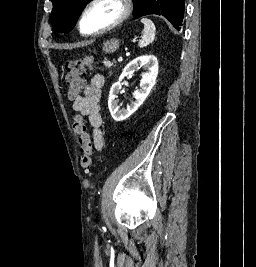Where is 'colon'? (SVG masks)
Listing matches in <instances>:
<instances>
[{"instance_id": "1", "label": "colon", "mask_w": 256, "mask_h": 267, "mask_svg": "<svg viewBox=\"0 0 256 267\" xmlns=\"http://www.w3.org/2000/svg\"><path fill=\"white\" fill-rule=\"evenodd\" d=\"M92 65L91 58H81L65 63L67 71L66 81L69 86L68 97L75 100L84 88L86 74ZM73 132L79 137V145L82 153V168L89 175L93 164L92 142L88 133L87 124L81 115L73 117Z\"/></svg>"}]
</instances>
